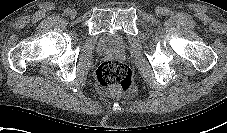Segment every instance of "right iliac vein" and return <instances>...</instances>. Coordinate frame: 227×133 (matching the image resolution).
<instances>
[{
	"mask_svg": "<svg viewBox=\"0 0 227 133\" xmlns=\"http://www.w3.org/2000/svg\"><path fill=\"white\" fill-rule=\"evenodd\" d=\"M71 18H74L76 16V11L74 9H71L69 14H68Z\"/></svg>",
	"mask_w": 227,
	"mask_h": 133,
	"instance_id": "63e3f726",
	"label": "right iliac vein"
}]
</instances>
